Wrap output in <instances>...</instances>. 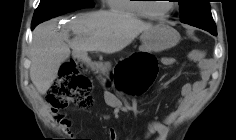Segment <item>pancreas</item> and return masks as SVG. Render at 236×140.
I'll use <instances>...</instances> for the list:
<instances>
[{"mask_svg":"<svg viewBox=\"0 0 236 140\" xmlns=\"http://www.w3.org/2000/svg\"><path fill=\"white\" fill-rule=\"evenodd\" d=\"M110 66V63L98 62L94 65L93 70H95L97 73L99 72L101 74H105Z\"/></svg>","mask_w":236,"mask_h":140,"instance_id":"1","label":"pancreas"}]
</instances>
